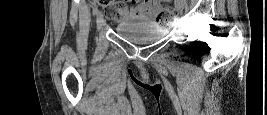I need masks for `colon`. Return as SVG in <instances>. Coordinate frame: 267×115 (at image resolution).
I'll return each mask as SVG.
<instances>
[{"mask_svg":"<svg viewBox=\"0 0 267 115\" xmlns=\"http://www.w3.org/2000/svg\"><path fill=\"white\" fill-rule=\"evenodd\" d=\"M128 5L125 1L110 3L105 6V18L110 22H119L128 15ZM160 21L169 22L177 18V10L170 5L161 6L156 13Z\"/></svg>","mask_w":267,"mask_h":115,"instance_id":"1","label":"colon"}]
</instances>
